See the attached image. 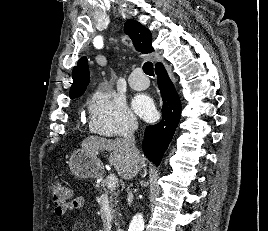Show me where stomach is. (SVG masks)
<instances>
[{
    "instance_id": "obj_1",
    "label": "stomach",
    "mask_w": 268,
    "mask_h": 231,
    "mask_svg": "<svg viewBox=\"0 0 268 231\" xmlns=\"http://www.w3.org/2000/svg\"><path fill=\"white\" fill-rule=\"evenodd\" d=\"M69 167L72 173L81 179L98 178L103 172L101 161L84 148L76 149L71 153Z\"/></svg>"
}]
</instances>
